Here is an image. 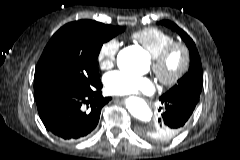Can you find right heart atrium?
<instances>
[{
	"instance_id": "obj_1",
	"label": "right heart atrium",
	"mask_w": 240,
	"mask_h": 160,
	"mask_svg": "<svg viewBox=\"0 0 240 160\" xmlns=\"http://www.w3.org/2000/svg\"><path fill=\"white\" fill-rule=\"evenodd\" d=\"M119 48L120 44L117 39H110L101 45L97 55L101 69L109 70L114 66Z\"/></svg>"
}]
</instances>
